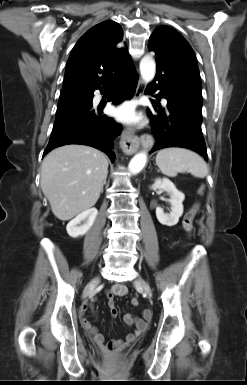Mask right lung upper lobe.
I'll use <instances>...</instances> for the list:
<instances>
[{"mask_svg":"<svg viewBox=\"0 0 247 385\" xmlns=\"http://www.w3.org/2000/svg\"><path fill=\"white\" fill-rule=\"evenodd\" d=\"M131 64L121 26L111 20L101 22L88 30L72 49L62 91H94L107 86Z\"/></svg>","mask_w":247,"mask_h":385,"instance_id":"1","label":"right lung upper lobe"}]
</instances>
